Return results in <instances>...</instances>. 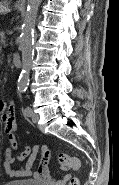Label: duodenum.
<instances>
[{
    "instance_id": "1",
    "label": "duodenum",
    "mask_w": 119,
    "mask_h": 185,
    "mask_svg": "<svg viewBox=\"0 0 119 185\" xmlns=\"http://www.w3.org/2000/svg\"><path fill=\"white\" fill-rule=\"evenodd\" d=\"M13 64L16 68H21L22 67V60L19 54H14L13 55Z\"/></svg>"
}]
</instances>
